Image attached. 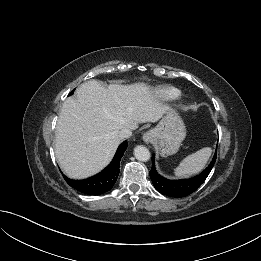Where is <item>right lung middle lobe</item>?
<instances>
[{
	"mask_svg": "<svg viewBox=\"0 0 261 261\" xmlns=\"http://www.w3.org/2000/svg\"><path fill=\"white\" fill-rule=\"evenodd\" d=\"M74 92V90L70 93V95Z\"/></svg>",
	"mask_w": 261,
	"mask_h": 261,
	"instance_id": "right-lung-middle-lobe-1",
	"label": "right lung middle lobe"
}]
</instances>
